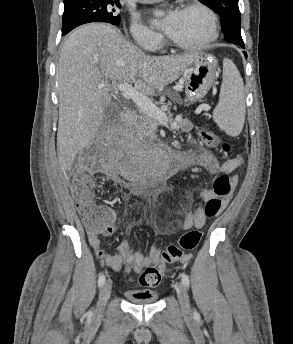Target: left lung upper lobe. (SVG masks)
Here are the masks:
<instances>
[{"mask_svg":"<svg viewBox=\"0 0 293 344\" xmlns=\"http://www.w3.org/2000/svg\"><path fill=\"white\" fill-rule=\"evenodd\" d=\"M219 14L225 40L242 46L244 42L240 32V11L238 0H199Z\"/></svg>","mask_w":293,"mask_h":344,"instance_id":"5c2ea615","label":"left lung upper lobe"}]
</instances>
